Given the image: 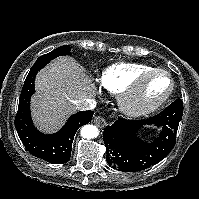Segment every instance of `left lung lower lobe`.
<instances>
[{"mask_svg":"<svg viewBox=\"0 0 199 199\" xmlns=\"http://www.w3.org/2000/svg\"><path fill=\"white\" fill-rule=\"evenodd\" d=\"M182 115L183 103L178 99L148 119L118 118L112 126L104 129L103 140L108 164L124 172L141 171L157 164L173 149ZM143 125L161 128L158 137L151 143L137 137V132Z\"/></svg>","mask_w":199,"mask_h":199,"instance_id":"0a47b994","label":"left lung lower lobe"}]
</instances>
